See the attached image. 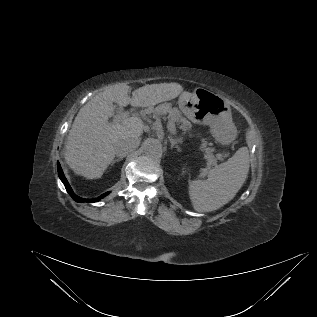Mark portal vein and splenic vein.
Returning a JSON list of instances; mask_svg holds the SVG:
<instances>
[{
    "mask_svg": "<svg viewBox=\"0 0 317 317\" xmlns=\"http://www.w3.org/2000/svg\"><path fill=\"white\" fill-rule=\"evenodd\" d=\"M128 116H129L128 112H121V113H118L114 116L113 121L114 122L121 121L123 119L128 118ZM169 129L171 132H173V133L175 132V124L173 122L169 123Z\"/></svg>",
    "mask_w": 317,
    "mask_h": 317,
    "instance_id": "obj_1",
    "label": "portal vein and splenic vein"
}]
</instances>
